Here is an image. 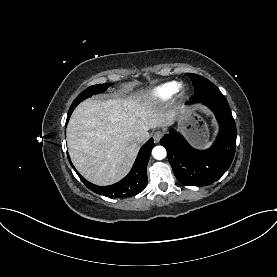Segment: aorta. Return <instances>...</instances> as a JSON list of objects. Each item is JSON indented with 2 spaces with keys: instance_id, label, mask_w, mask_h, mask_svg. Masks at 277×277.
Returning <instances> with one entry per match:
<instances>
[{
  "instance_id": "762f6f07",
  "label": "aorta",
  "mask_w": 277,
  "mask_h": 277,
  "mask_svg": "<svg viewBox=\"0 0 277 277\" xmlns=\"http://www.w3.org/2000/svg\"><path fill=\"white\" fill-rule=\"evenodd\" d=\"M152 155L157 160H162L166 157L167 152L163 146H156L152 150Z\"/></svg>"
}]
</instances>
